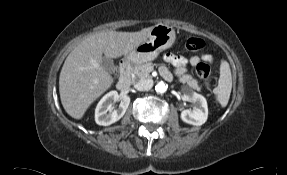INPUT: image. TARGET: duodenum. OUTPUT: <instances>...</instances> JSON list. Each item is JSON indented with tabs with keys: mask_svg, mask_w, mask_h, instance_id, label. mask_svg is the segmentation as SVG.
<instances>
[{
	"mask_svg": "<svg viewBox=\"0 0 287 175\" xmlns=\"http://www.w3.org/2000/svg\"><path fill=\"white\" fill-rule=\"evenodd\" d=\"M131 61L125 59L120 64V77L117 83V88L121 91L126 90L131 85Z\"/></svg>",
	"mask_w": 287,
	"mask_h": 175,
	"instance_id": "obj_1",
	"label": "duodenum"
}]
</instances>
